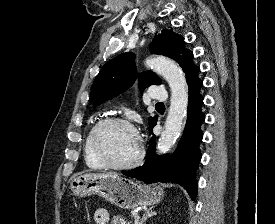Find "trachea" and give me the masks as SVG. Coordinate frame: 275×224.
<instances>
[{
	"label": "trachea",
	"mask_w": 275,
	"mask_h": 224,
	"mask_svg": "<svg viewBox=\"0 0 275 224\" xmlns=\"http://www.w3.org/2000/svg\"><path fill=\"white\" fill-rule=\"evenodd\" d=\"M156 105H158V106H162V105H164L163 103H157Z\"/></svg>",
	"instance_id": "trachea-1"
}]
</instances>
